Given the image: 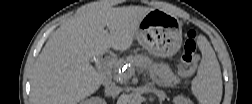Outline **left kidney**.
Wrapping results in <instances>:
<instances>
[{"mask_svg": "<svg viewBox=\"0 0 252 104\" xmlns=\"http://www.w3.org/2000/svg\"><path fill=\"white\" fill-rule=\"evenodd\" d=\"M175 103H189V100L183 97H175L173 100Z\"/></svg>", "mask_w": 252, "mask_h": 104, "instance_id": "obj_1", "label": "left kidney"}]
</instances>
